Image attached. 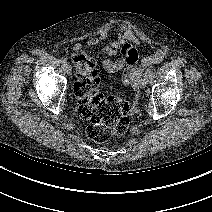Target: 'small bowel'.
<instances>
[{
	"instance_id": "1",
	"label": "small bowel",
	"mask_w": 212,
	"mask_h": 212,
	"mask_svg": "<svg viewBox=\"0 0 212 212\" xmlns=\"http://www.w3.org/2000/svg\"><path fill=\"white\" fill-rule=\"evenodd\" d=\"M112 28V25H106L97 36L88 39L85 43H75L72 46L73 53L82 52L84 47H95L101 44ZM138 43V39L131 28L123 25L119 30L117 39L103 48V53L106 56L119 55L115 60L105 59L102 63L104 69L108 72L123 70V81L134 86L140 83L143 70L160 63L167 53L165 49H158L151 55L140 57L136 48Z\"/></svg>"
}]
</instances>
